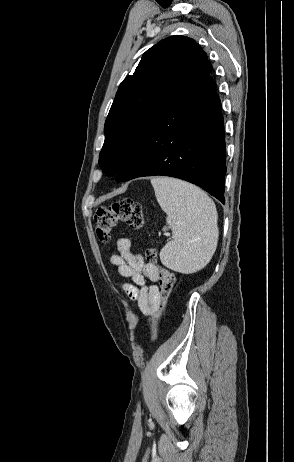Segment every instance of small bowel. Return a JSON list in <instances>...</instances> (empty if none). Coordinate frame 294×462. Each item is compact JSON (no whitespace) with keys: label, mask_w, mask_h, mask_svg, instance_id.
Here are the masks:
<instances>
[{"label":"small bowel","mask_w":294,"mask_h":462,"mask_svg":"<svg viewBox=\"0 0 294 462\" xmlns=\"http://www.w3.org/2000/svg\"><path fill=\"white\" fill-rule=\"evenodd\" d=\"M117 251V254L112 255L111 262L117 266L120 276L131 280L123 284L124 291L137 302L143 314H152L160 303L158 268L152 263H146L140 254L132 251L128 237L118 239Z\"/></svg>","instance_id":"obj_1"}]
</instances>
